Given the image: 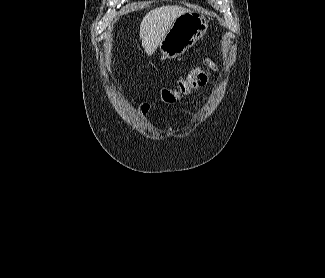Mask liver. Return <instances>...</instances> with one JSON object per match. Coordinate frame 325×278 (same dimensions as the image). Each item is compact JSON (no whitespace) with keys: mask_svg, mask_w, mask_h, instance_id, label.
<instances>
[{"mask_svg":"<svg viewBox=\"0 0 325 278\" xmlns=\"http://www.w3.org/2000/svg\"><path fill=\"white\" fill-rule=\"evenodd\" d=\"M187 12L190 10L181 6H162L149 11L143 17L139 36L147 55L155 53L173 22Z\"/></svg>","mask_w":325,"mask_h":278,"instance_id":"6515ba94","label":"liver"}]
</instances>
